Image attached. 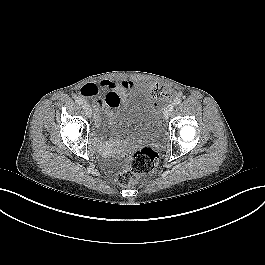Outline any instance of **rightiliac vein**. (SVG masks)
I'll list each match as a JSON object with an SVG mask.
<instances>
[{
  "instance_id": "1",
  "label": "right iliac vein",
  "mask_w": 265,
  "mask_h": 265,
  "mask_svg": "<svg viewBox=\"0 0 265 265\" xmlns=\"http://www.w3.org/2000/svg\"><path fill=\"white\" fill-rule=\"evenodd\" d=\"M83 109L86 113V115L90 118L92 116V109L88 103L83 104Z\"/></svg>"
}]
</instances>
